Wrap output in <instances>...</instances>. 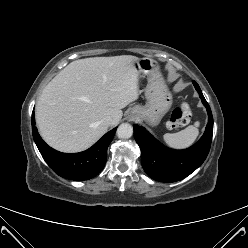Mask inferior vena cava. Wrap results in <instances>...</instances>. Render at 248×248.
<instances>
[{"label": "inferior vena cava", "mask_w": 248, "mask_h": 248, "mask_svg": "<svg viewBox=\"0 0 248 248\" xmlns=\"http://www.w3.org/2000/svg\"><path fill=\"white\" fill-rule=\"evenodd\" d=\"M102 123L106 126H110L113 123V119L111 116H106L102 119Z\"/></svg>", "instance_id": "inferior-vena-cava-1"}]
</instances>
